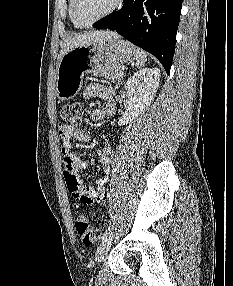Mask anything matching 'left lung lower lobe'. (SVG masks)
<instances>
[{"label":"left lung lower lobe","instance_id":"left-lung-lower-lobe-1","mask_svg":"<svg viewBox=\"0 0 233 286\" xmlns=\"http://www.w3.org/2000/svg\"><path fill=\"white\" fill-rule=\"evenodd\" d=\"M182 0H125L123 7L95 22L116 30L128 41L153 54L170 73Z\"/></svg>","mask_w":233,"mask_h":286}]
</instances>
